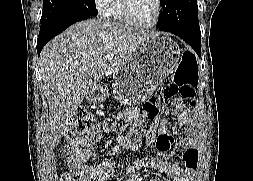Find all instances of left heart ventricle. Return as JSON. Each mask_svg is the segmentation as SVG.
I'll use <instances>...</instances> for the list:
<instances>
[{
	"instance_id": "b2bd125f",
	"label": "left heart ventricle",
	"mask_w": 253,
	"mask_h": 181,
	"mask_svg": "<svg viewBox=\"0 0 253 181\" xmlns=\"http://www.w3.org/2000/svg\"><path fill=\"white\" fill-rule=\"evenodd\" d=\"M131 16L138 22L148 23L154 18L156 12L155 0H128Z\"/></svg>"
}]
</instances>
